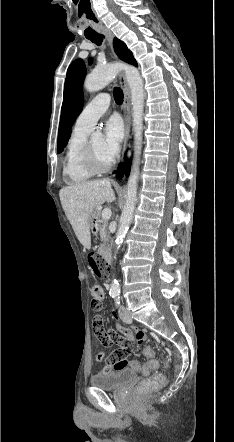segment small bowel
Wrapping results in <instances>:
<instances>
[{"mask_svg":"<svg viewBox=\"0 0 234 442\" xmlns=\"http://www.w3.org/2000/svg\"><path fill=\"white\" fill-rule=\"evenodd\" d=\"M103 291V289H102ZM113 315L117 318L116 313L113 312ZM93 331L96 333L97 341L104 344V347H108V344L116 343L120 345L121 349L129 350L132 347L130 340H135L137 343L141 344L145 340V335L141 331H134L126 326H123L120 323H117V331H114V328H110V331L104 328L102 323V316L96 315L95 320L92 322ZM126 367V366H125Z\"/></svg>","mask_w":234,"mask_h":442,"instance_id":"obj_1","label":"small bowel"}]
</instances>
